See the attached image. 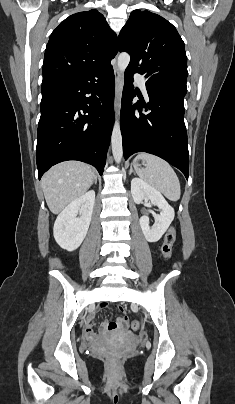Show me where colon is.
<instances>
[{
  "instance_id": "1",
  "label": "colon",
  "mask_w": 235,
  "mask_h": 404,
  "mask_svg": "<svg viewBox=\"0 0 235 404\" xmlns=\"http://www.w3.org/2000/svg\"><path fill=\"white\" fill-rule=\"evenodd\" d=\"M176 240V230L174 227H170L167 233L165 234L164 241L161 247V252L165 259H170L172 255V248ZM117 326H129L131 330L136 331L139 328V324L136 321H133L129 324V320L127 317L120 318L117 322H108V329H114ZM110 360H114L113 357Z\"/></svg>"
}]
</instances>
